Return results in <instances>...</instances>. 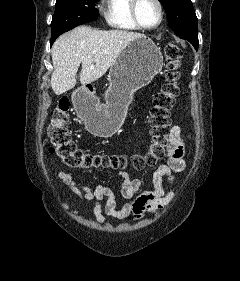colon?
<instances>
[{
  "label": "colon",
  "instance_id": "colon-1",
  "mask_svg": "<svg viewBox=\"0 0 240 281\" xmlns=\"http://www.w3.org/2000/svg\"><path fill=\"white\" fill-rule=\"evenodd\" d=\"M166 76L161 89L153 96L149 124L151 128V143L148 150L128 159L123 155H107L91 153L82 150L71 138L69 124V100L60 99L48 128L47 140L50 151L59 157L69 168L123 169L132 165L135 169L152 166L167 153L170 133V111L174 106L179 89L177 81L180 76L182 51L175 42L167 43L165 47Z\"/></svg>",
  "mask_w": 240,
  "mask_h": 281
}]
</instances>
